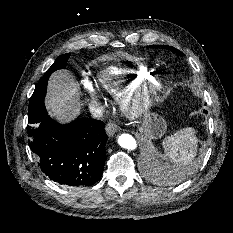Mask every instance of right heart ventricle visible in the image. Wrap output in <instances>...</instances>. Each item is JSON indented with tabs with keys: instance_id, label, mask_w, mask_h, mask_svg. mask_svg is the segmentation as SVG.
<instances>
[{
	"instance_id": "right-heart-ventricle-1",
	"label": "right heart ventricle",
	"mask_w": 233,
	"mask_h": 233,
	"mask_svg": "<svg viewBox=\"0 0 233 233\" xmlns=\"http://www.w3.org/2000/svg\"><path fill=\"white\" fill-rule=\"evenodd\" d=\"M149 71L145 67L123 69L110 67L98 76L100 88L107 94L120 96L129 88L141 86L149 79Z\"/></svg>"
}]
</instances>
